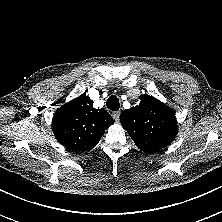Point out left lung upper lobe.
<instances>
[{
	"label": "left lung upper lobe",
	"mask_w": 222,
	"mask_h": 222,
	"mask_svg": "<svg viewBox=\"0 0 222 222\" xmlns=\"http://www.w3.org/2000/svg\"><path fill=\"white\" fill-rule=\"evenodd\" d=\"M140 100L139 105L120 114V122L139 149L157 152L176 137V116L170 107L152 96L141 95Z\"/></svg>",
	"instance_id": "1"
}]
</instances>
